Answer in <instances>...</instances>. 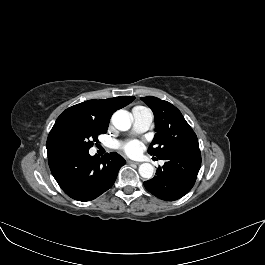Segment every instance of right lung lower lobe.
<instances>
[{
  "label": "right lung lower lobe",
  "instance_id": "98d812e1",
  "mask_svg": "<svg viewBox=\"0 0 265 265\" xmlns=\"http://www.w3.org/2000/svg\"><path fill=\"white\" fill-rule=\"evenodd\" d=\"M50 170L71 198L90 201L114 184L125 159L117 153H107L101 159L86 153H62L48 157Z\"/></svg>",
  "mask_w": 265,
  "mask_h": 265
}]
</instances>
